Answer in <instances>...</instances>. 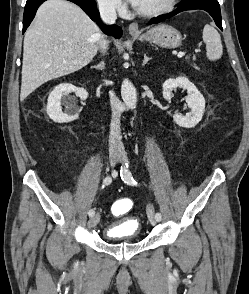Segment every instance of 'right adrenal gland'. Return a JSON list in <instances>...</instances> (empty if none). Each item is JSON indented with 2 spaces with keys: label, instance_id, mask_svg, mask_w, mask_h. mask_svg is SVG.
<instances>
[{
  "label": "right adrenal gland",
  "instance_id": "1",
  "mask_svg": "<svg viewBox=\"0 0 249 294\" xmlns=\"http://www.w3.org/2000/svg\"><path fill=\"white\" fill-rule=\"evenodd\" d=\"M92 68L103 70L105 68L104 61H101L98 65L92 66Z\"/></svg>",
  "mask_w": 249,
  "mask_h": 294
}]
</instances>
